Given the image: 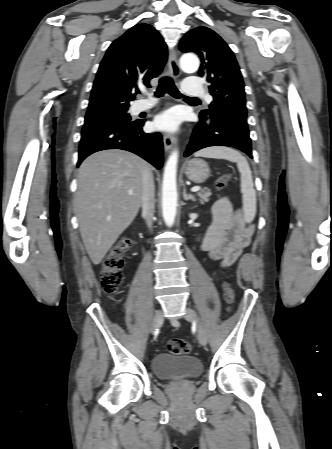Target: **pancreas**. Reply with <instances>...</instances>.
Wrapping results in <instances>:
<instances>
[{
	"label": "pancreas",
	"instance_id": "1",
	"mask_svg": "<svg viewBox=\"0 0 332 449\" xmlns=\"http://www.w3.org/2000/svg\"><path fill=\"white\" fill-rule=\"evenodd\" d=\"M197 196L199 197V201L201 204H204L205 202L209 201V197L211 196L210 190L201 191L197 193Z\"/></svg>",
	"mask_w": 332,
	"mask_h": 449
}]
</instances>
